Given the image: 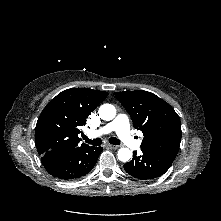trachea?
Returning <instances> with one entry per match:
<instances>
[{
    "mask_svg": "<svg viewBox=\"0 0 221 221\" xmlns=\"http://www.w3.org/2000/svg\"><path fill=\"white\" fill-rule=\"evenodd\" d=\"M83 140L93 146H100L102 144V140L100 138H96V139H89L87 138L85 135L82 136ZM109 143L113 144V145H119L120 144V140L115 138V137H111L109 138Z\"/></svg>",
    "mask_w": 221,
    "mask_h": 221,
    "instance_id": "trachea-1",
    "label": "trachea"
}]
</instances>
